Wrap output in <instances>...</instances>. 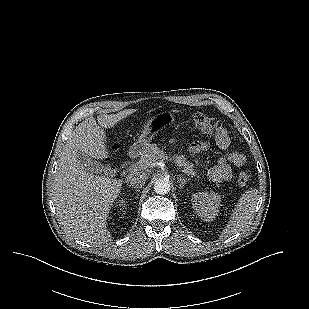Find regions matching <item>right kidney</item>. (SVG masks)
Instances as JSON below:
<instances>
[{
	"mask_svg": "<svg viewBox=\"0 0 309 309\" xmlns=\"http://www.w3.org/2000/svg\"><path fill=\"white\" fill-rule=\"evenodd\" d=\"M118 203H119V206L125 205V201H124L123 199L119 200ZM117 206H118V205H117ZM123 207H124V206H123Z\"/></svg>",
	"mask_w": 309,
	"mask_h": 309,
	"instance_id": "obj_1",
	"label": "right kidney"
}]
</instances>
